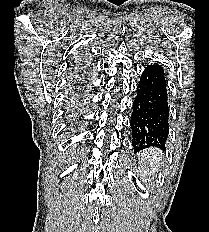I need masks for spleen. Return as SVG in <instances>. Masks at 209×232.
I'll use <instances>...</instances> for the list:
<instances>
[{
	"label": "spleen",
	"mask_w": 209,
	"mask_h": 232,
	"mask_svg": "<svg viewBox=\"0 0 209 232\" xmlns=\"http://www.w3.org/2000/svg\"><path fill=\"white\" fill-rule=\"evenodd\" d=\"M160 159L153 150H143L139 154V165L145 176H155Z\"/></svg>",
	"instance_id": "obj_1"
}]
</instances>
